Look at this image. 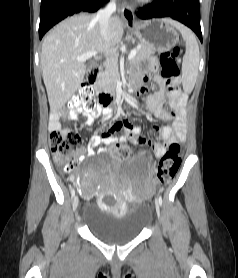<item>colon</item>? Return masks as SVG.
<instances>
[{
  "label": "colon",
  "instance_id": "obj_1",
  "mask_svg": "<svg viewBox=\"0 0 238 278\" xmlns=\"http://www.w3.org/2000/svg\"><path fill=\"white\" fill-rule=\"evenodd\" d=\"M180 49L175 48L171 52L162 53L160 56L161 75L168 82H176L179 76L177 59ZM73 109H83L87 112H94L97 103L93 96V88L89 84H83L78 93L69 101ZM50 149L55 163L71 171L78 163L77 152L81 147L80 136L70 130H53L50 133ZM162 149L167 145L162 144ZM111 153L118 159H124L129 155V149L121 144L111 147ZM181 164V149L177 143H171L167 151L162 155L157 168V177L162 184H168L174 178Z\"/></svg>",
  "mask_w": 238,
  "mask_h": 278
}]
</instances>
